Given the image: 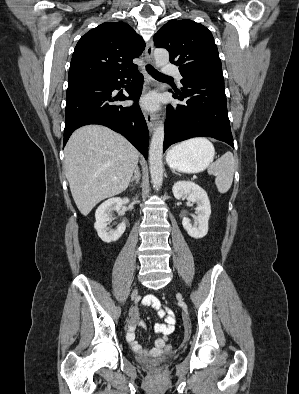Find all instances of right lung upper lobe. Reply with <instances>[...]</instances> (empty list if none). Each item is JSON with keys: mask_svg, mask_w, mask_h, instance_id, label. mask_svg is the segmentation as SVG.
<instances>
[{"mask_svg": "<svg viewBox=\"0 0 299 394\" xmlns=\"http://www.w3.org/2000/svg\"><path fill=\"white\" fill-rule=\"evenodd\" d=\"M145 43L124 22H107L87 32L72 56L68 83L132 72V59L141 55Z\"/></svg>", "mask_w": 299, "mask_h": 394, "instance_id": "obj_1", "label": "right lung upper lobe"}]
</instances>
